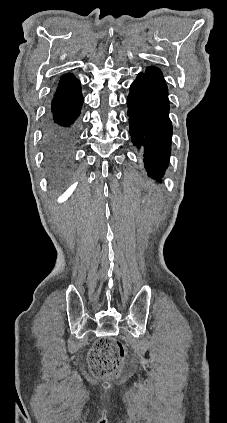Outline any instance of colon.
<instances>
[{
	"mask_svg": "<svg viewBox=\"0 0 227 423\" xmlns=\"http://www.w3.org/2000/svg\"><path fill=\"white\" fill-rule=\"evenodd\" d=\"M123 359V346L112 337L98 339L89 354L93 371L102 377L117 376L121 370Z\"/></svg>",
	"mask_w": 227,
	"mask_h": 423,
	"instance_id": "obj_1",
	"label": "colon"
}]
</instances>
